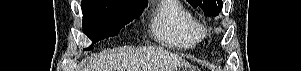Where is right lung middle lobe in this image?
Masks as SVG:
<instances>
[{
  "mask_svg": "<svg viewBox=\"0 0 301 71\" xmlns=\"http://www.w3.org/2000/svg\"><path fill=\"white\" fill-rule=\"evenodd\" d=\"M148 1L141 0H83V32L93 44L116 36L133 19L138 18Z\"/></svg>",
  "mask_w": 301,
  "mask_h": 71,
  "instance_id": "obj_1",
  "label": "right lung middle lobe"
}]
</instances>
